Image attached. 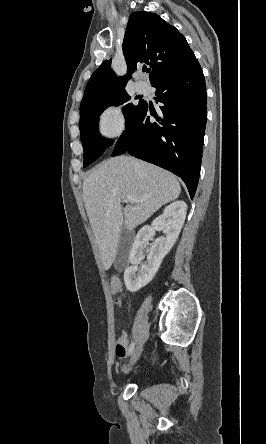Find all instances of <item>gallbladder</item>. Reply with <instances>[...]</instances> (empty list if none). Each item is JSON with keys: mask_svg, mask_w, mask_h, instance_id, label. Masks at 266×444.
<instances>
[{"mask_svg": "<svg viewBox=\"0 0 266 444\" xmlns=\"http://www.w3.org/2000/svg\"><path fill=\"white\" fill-rule=\"evenodd\" d=\"M130 242L131 233L126 228H123L120 233L117 254L114 262V266L117 271H122L127 264Z\"/></svg>", "mask_w": 266, "mask_h": 444, "instance_id": "obj_1", "label": "gallbladder"}]
</instances>
